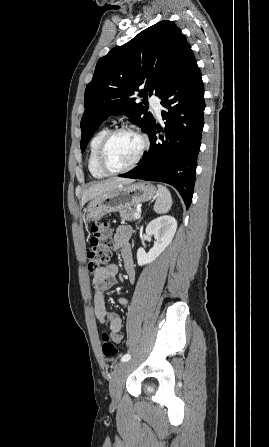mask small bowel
Returning <instances> with one entry per match:
<instances>
[{
	"mask_svg": "<svg viewBox=\"0 0 269 447\" xmlns=\"http://www.w3.org/2000/svg\"><path fill=\"white\" fill-rule=\"evenodd\" d=\"M131 235L129 227H119L115 234L116 246L121 248V256L123 258L126 273L131 282L135 281V269L132 258V253L128 240ZM118 267L116 264H108L96 272H94L91 285L93 289V306L96 318L101 324H108L111 332L112 340L115 343L123 341V334L121 333L122 318L119 314L110 312L107 309L106 294L107 291L116 284V276ZM118 304L122 306L128 305V300L125 297H117Z\"/></svg>",
	"mask_w": 269,
	"mask_h": 447,
	"instance_id": "small-bowel-1",
	"label": "small bowel"
}]
</instances>
